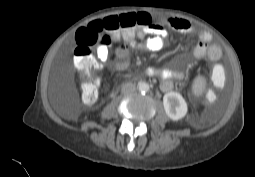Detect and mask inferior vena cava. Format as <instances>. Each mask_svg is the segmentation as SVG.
Segmentation results:
<instances>
[{
  "label": "inferior vena cava",
  "mask_w": 255,
  "mask_h": 177,
  "mask_svg": "<svg viewBox=\"0 0 255 177\" xmlns=\"http://www.w3.org/2000/svg\"><path fill=\"white\" fill-rule=\"evenodd\" d=\"M121 90H122V93L129 94L136 90V85L131 82H127L122 85Z\"/></svg>",
  "instance_id": "602c4592"
}]
</instances>
